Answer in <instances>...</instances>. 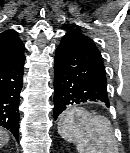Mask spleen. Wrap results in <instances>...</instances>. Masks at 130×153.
I'll return each mask as SVG.
<instances>
[{
	"label": "spleen",
	"instance_id": "obj_1",
	"mask_svg": "<svg viewBox=\"0 0 130 153\" xmlns=\"http://www.w3.org/2000/svg\"><path fill=\"white\" fill-rule=\"evenodd\" d=\"M58 133L74 143L78 153H118L110 121L84 108L66 110L60 116Z\"/></svg>",
	"mask_w": 130,
	"mask_h": 153
}]
</instances>
